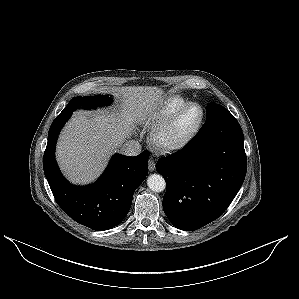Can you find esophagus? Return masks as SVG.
<instances>
[{"instance_id": "34e87169", "label": "esophagus", "mask_w": 299, "mask_h": 299, "mask_svg": "<svg viewBox=\"0 0 299 299\" xmlns=\"http://www.w3.org/2000/svg\"><path fill=\"white\" fill-rule=\"evenodd\" d=\"M148 168H149V170L151 172L155 170V162H154L153 159H149V161H148Z\"/></svg>"}]
</instances>
